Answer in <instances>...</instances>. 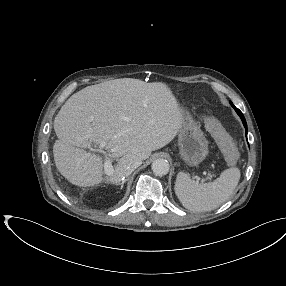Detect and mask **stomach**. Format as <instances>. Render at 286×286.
Instances as JSON below:
<instances>
[{
    "instance_id": "obj_1",
    "label": "stomach",
    "mask_w": 286,
    "mask_h": 286,
    "mask_svg": "<svg viewBox=\"0 0 286 286\" xmlns=\"http://www.w3.org/2000/svg\"><path fill=\"white\" fill-rule=\"evenodd\" d=\"M183 122L178 133V145L184 162L198 166L208 155V141L199 125L188 112L181 109Z\"/></svg>"
}]
</instances>
